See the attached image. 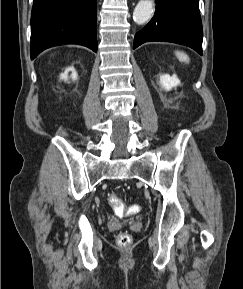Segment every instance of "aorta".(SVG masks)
I'll return each mask as SVG.
<instances>
[{
    "instance_id": "obj_1",
    "label": "aorta",
    "mask_w": 243,
    "mask_h": 289,
    "mask_svg": "<svg viewBox=\"0 0 243 289\" xmlns=\"http://www.w3.org/2000/svg\"><path fill=\"white\" fill-rule=\"evenodd\" d=\"M153 14V0H140L133 12L134 21L141 25L147 22Z\"/></svg>"
}]
</instances>
